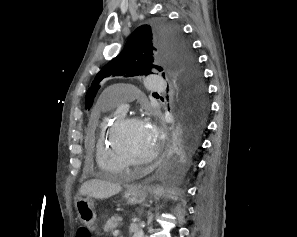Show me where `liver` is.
<instances>
[{"instance_id": "6515ba94", "label": "liver", "mask_w": 297, "mask_h": 237, "mask_svg": "<svg viewBox=\"0 0 297 237\" xmlns=\"http://www.w3.org/2000/svg\"><path fill=\"white\" fill-rule=\"evenodd\" d=\"M119 184H114L99 179H92L84 182L80 188L83 196L94 197L96 199H107L121 191Z\"/></svg>"}]
</instances>
